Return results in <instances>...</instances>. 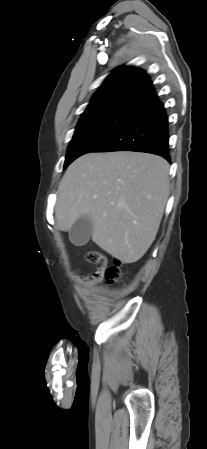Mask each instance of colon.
<instances>
[{
    "instance_id": "colon-1",
    "label": "colon",
    "mask_w": 207,
    "mask_h": 449,
    "mask_svg": "<svg viewBox=\"0 0 207 449\" xmlns=\"http://www.w3.org/2000/svg\"><path fill=\"white\" fill-rule=\"evenodd\" d=\"M85 259L88 263L97 267V272L94 274V278H99L104 275L106 281L109 283L117 282L122 278V272L118 264L107 266V259L101 253L89 251L86 253Z\"/></svg>"
}]
</instances>
